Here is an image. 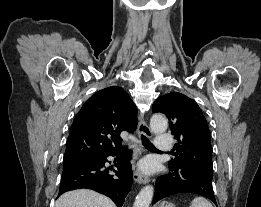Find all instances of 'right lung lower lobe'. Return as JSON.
Instances as JSON below:
<instances>
[{
  "label": "right lung lower lobe",
  "mask_w": 261,
  "mask_h": 207,
  "mask_svg": "<svg viewBox=\"0 0 261 207\" xmlns=\"http://www.w3.org/2000/svg\"><path fill=\"white\" fill-rule=\"evenodd\" d=\"M108 156L118 157L116 169L105 167ZM130 159L131 151L119 150L100 155L91 163L63 168L58 196L66 191L88 188L110 197L118 207H122L133 183ZM109 170H113L117 177Z\"/></svg>",
  "instance_id": "98d812e1"
}]
</instances>
